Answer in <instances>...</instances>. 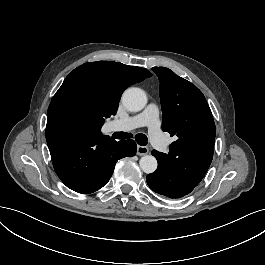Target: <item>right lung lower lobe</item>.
Segmentation results:
<instances>
[{
    "label": "right lung lower lobe",
    "instance_id": "1",
    "mask_svg": "<svg viewBox=\"0 0 265 265\" xmlns=\"http://www.w3.org/2000/svg\"><path fill=\"white\" fill-rule=\"evenodd\" d=\"M52 163L61 181L82 194L99 190L110 179L116 162L135 155L133 140L116 142L101 133L47 128Z\"/></svg>",
    "mask_w": 265,
    "mask_h": 265
}]
</instances>
